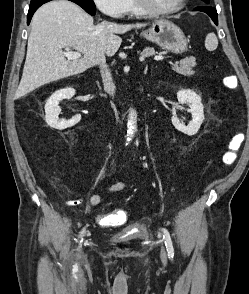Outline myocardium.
<instances>
[{
    "mask_svg": "<svg viewBox=\"0 0 249 294\" xmlns=\"http://www.w3.org/2000/svg\"><path fill=\"white\" fill-rule=\"evenodd\" d=\"M186 1L187 0H179L174 7L165 10H156L152 8L148 0H135V3L142 14L150 17H161L179 11Z\"/></svg>",
    "mask_w": 249,
    "mask_h": 294,
    "instance_id": "myocardium-1",
    "label": "myocardium"
}]
</instances>
